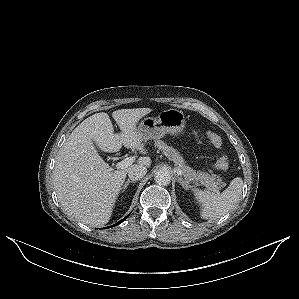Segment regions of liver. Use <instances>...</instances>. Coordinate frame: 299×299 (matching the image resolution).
Returning a JSON list of instances; mask_svg holds the SVG:
<instances>
[{
	"label": "liver",
	"instance_id": "obj_1",
	"mask_svg": "<svg viewBox=\"0 0 299 299\" xmlns=\"http://www.w3.org/2000/svg\"><path fill=\"white\" fill-rule=\"evenodd\" d=\"M151 111L150 108L114 111L112 117L120 134L114 133L109 115L104 112L88 117L72 131L59 151L53 171L54 189L68 216L91 227L108 223L130 167L113 169L95 147L112 153L124 145L145 154L142 135L136 125ZM136 164L150 167L151 159L140 157Z\"/></svg>",
	"mask_w": 299,
	"mask_h": 299
}]
</instances>
